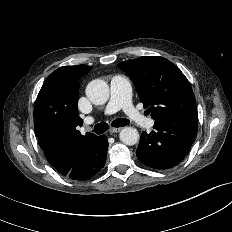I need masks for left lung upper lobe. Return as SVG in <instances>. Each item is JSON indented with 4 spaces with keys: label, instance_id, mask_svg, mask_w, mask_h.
I'll list each match as a JSON object with an SVG mask.
<instances>
[{
    "label": "left lung upper lobe",
    "instance_id": "obj_1",
    "mask_svg": "<svg viewBox=\"0 0 232 232\" xmlns=\"http://www.w3.org/2000/svg\"><path fill=\"white\" fill-rule=\"evenodd\" d=\"M118 66L133 80L155 122L198 124L191 85L175 64L162 57L144 56Z\"/></svg>",
    "mask_w": 232,
    "mask_h": 232
}]
</instances>
